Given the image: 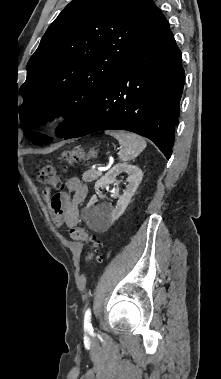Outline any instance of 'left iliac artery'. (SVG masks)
<instances>
[{
	"label": "left iliac artery",
	"instance_id": "left-iliac-artery-1",
	"mask_svg": "<svg viewBox=\"0 0 221 379\" xmlns=\"http://www.w3.org/2000/svg\"><path fill=\"white\" fill-rule=\"evenodd\" d=\"M84 324L86 326L91 325V310H90V308H88L86 311L85 318H84Z\"/></svg>",
	"mask_w": 221,
	"mask_h": 379
}]
</instances>
